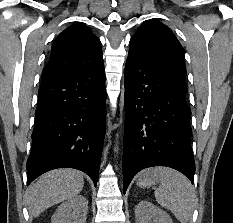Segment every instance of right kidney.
Here are the masks:
<instances>
[{
  "label": "right kidney",
  "instance_id": "obj_1",
  "mask_svg": "<svg viewBox=\"0 0 233 223\" xmlns=\"http://www.w3.org/2000/svg\"><path fill=\"white\" fill-rule=\"evenodd\" d=\"M88 199L84 195H73L58 205L51 223H86Z\"/></svg>",
  "mask_w": 233,
  "mask_h": 223
}]
</instances>
